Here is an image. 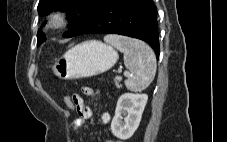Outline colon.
Segmentation results:
<instances>
[{
	"mask_svg": "<svg viewBox=\"0 0 227 142\" xmlns=\"http://www.w3.org/2000/svg\"><path fill=\"white\" fill-rule=\"evenodd\" d=\"M65 104L66 106L71 109V110H75V105H74V102H73V99L71 96H66L65 97Z\"/></svg>",
	"mask_w": 227,
	"mask_h": 142,
	"instance_id": "5ec220e1",
	"label": "colon"
}]
</instances>
